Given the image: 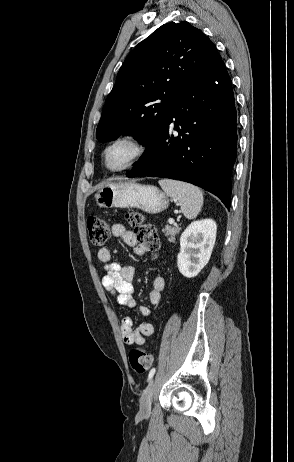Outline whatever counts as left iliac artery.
<instances>
[{
  "mask_svg": "<svg viewBox=\"0 0 294 462\" xmlns=\"http://www.w3.org/2000/svg\"><path fill=\"white\" fill-rule=\"evenodd\" d=\"M156 372V369L155 368H152L149 372V375H148V381H150L152 379V377L154 376Z\"/></svg>",
  "mask_w": 294,
  "mask_h": 462,
  "instance_id": "44dca946",
  "label": "left iliac artery"
}]
</instances>
